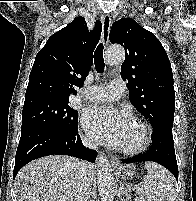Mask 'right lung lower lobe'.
I'll return each mask as SVG.
<instances>
[{"instance_id":"obj_1","label":"right lung lower lobe","mask_w":196,"mask_h":201,"mask_svg":"<svg viewBox=\"0 0 196 201\" xmlns=\"http://www.w3.org/2000/svg\"><path fill=\"white\" fill-rule=\"evenodd\" d=\"M48 155H69L95 162L97 152L83 146L77 128L71 132L46 127L29 128L21 133L16 151L14 178L28 162Z\"/></svg>"}]
</instances>
